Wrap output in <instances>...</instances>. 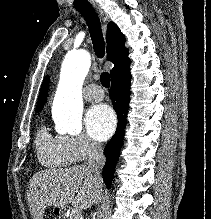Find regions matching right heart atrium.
I'll list each match as a JSON object with an SVG mask.
<instances>
[{
  "mask_svg": "<svg viewBox=\"0 0 211 219\" xmlns=\"http://www.w3.org/2000/svg\"><path fill=\"white\" fill-rule=\"evenodd\" d=\"M60 140L73 162H82L101 152L100 145L86 134L60 136Z\"/></svg>",
  "mask_w": 211,
  "mask_h": 219,
  "instance_id": "right-heart-atrium-1",
  "label": "right heart atrium"
}]
</instances>
